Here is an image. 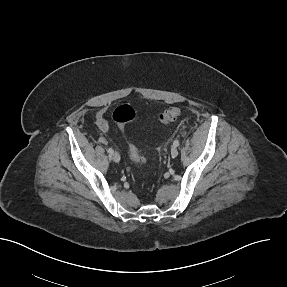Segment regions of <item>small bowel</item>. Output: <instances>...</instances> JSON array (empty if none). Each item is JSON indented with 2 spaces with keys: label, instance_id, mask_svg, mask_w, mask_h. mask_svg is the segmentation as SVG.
Returning a JSON list of instances; mask_svg holds the SVG:
<instances>
[{
  "label": "small bowel",
  "instance_id": "obj_1",
  "mask_svg": "<svg viewBox=\"0 0 287 287\" xmlns=\"http://www.w3.org/2000/svg\"><path fill=\"white\" fill-rule=\"evenodd\" d=\"M96 121L99 129L102 132H108L110 130V124L108 120L106 119V109H102L97 112L96 114Z\"/></svg>",
  "mask_w": 287,
  "mask_h": 287
}]
</instances>
